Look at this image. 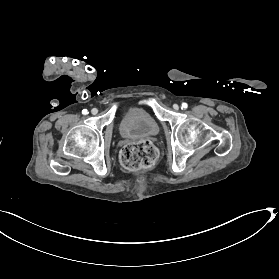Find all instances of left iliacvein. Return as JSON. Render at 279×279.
Wrapping results in <instances>:
<instances>
[{
    "mask_svg": "<svg viewBox=\"0 0 279 279\" xmlns=\"http://www.w3.org/2000/svg\"><path fill=\"white\" fill-rule=\"evenodd\" d=\"M173 108H174L175 110H178V109H179V106H178L177 104H174V105H173Z\"/></svg>",
    "mask_w": 279,
    "mask_h": 279,
    "instance_id": "1",
    "label": "left iliac vein"
}]
</instances>
